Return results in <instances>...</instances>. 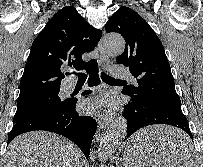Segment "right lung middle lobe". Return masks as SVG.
Instances as JSON below:
<instances>
[{
	"instance_id": "1",
	"label": "right lung middle lobe",
	"mask_w": 203,
	"mask_h": 167,
	"mask_svg": "<svg viewBox=\"0 0 203 167\" xmlns=\"http://www.w3.org/2000/svg\"><path fill=\"white\" fill-rule=\"evenodd\" d=\"M58 93L56 92L30 103L17 106L13 122L16 123L28 116L62 107L67 102V99H60Z\"/></svg>"
}]
</instances>
